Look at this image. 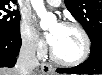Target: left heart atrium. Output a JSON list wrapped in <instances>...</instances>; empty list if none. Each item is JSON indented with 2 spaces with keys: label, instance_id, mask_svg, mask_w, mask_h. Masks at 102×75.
Returning <instances> with one entry per match:
<instances>
[{
  "label": "left heart atrium",
  "instance_id": "39dd6f15",
  "mask_svg": "<svg viewBox=\"0 0 102 75\" xmlns=\"http://www.w3.org/2000/svg\"><path fill=\"white\" fill-rule=\"evenodd\" d=\"M46 38H47V40L51 43L52 40H53V34H52V33L47 34V35H46Z\"/></svg>",
  "mask_w": 102,
  "mask_h": 75
}]
</instances>
